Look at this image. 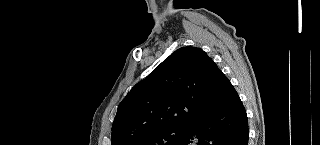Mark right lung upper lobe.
<instances>
[{
	"instance_id": "right-lung-upper-lobe-1",
	"label": "right lung upper lobe",
	"mask_w": 320,
	"mask_h": 145,
	"mask_svg": "<svg viewBox=\"0 0 320 145\" xmlns=\"http://www.w3.org/2000/svg\"><path fill=\"white\" fill-rule=\"evenodd\" d=\"M225 75L202 49L181 47L137 83L120 103L112 145H131L166 128L185 127L213 108Z\"/></svg>"
}]
</instances>
